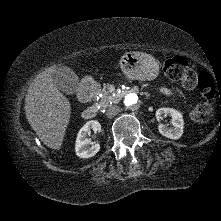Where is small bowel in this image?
Segmentation results:
<instances>
[{"instance_id":"c3829d8e","label":"small bowel","mask_w":221,"mask_h":221,"mask_svg":"<svg viewBox=\"0 0 221 221\" xmlns=\"http://www.w3.org/2000/svg\"><path fill=\"white\" fill-rule=\"evenodd\" d=\"M162 92H164V93L167 94V95L172 94L171 90H169V89H167V88H163V89H162Z\"/></svg>"}]
</instances>
